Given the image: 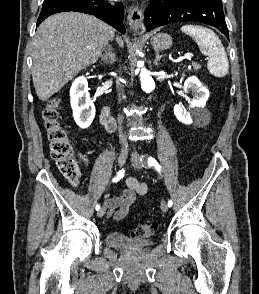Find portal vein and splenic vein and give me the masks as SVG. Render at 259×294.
Here are the masks:
<instances>
[{"mask_svg": "<svg viewBox=\"0 0 259 294\" xmlns=\"http://www.w3.org/2000/svg\"><path fill=\"white\" fill-rule=\"evenodd\" d=\"M184 57H185L186 59H191V58L193 57V54H192V53H186V54L184 55Z\"/></svg>", "mask_w": 259, "mask_h": 294, "instance_id": "1", "label": "portal vein and splenic vein"}]
</instances>
